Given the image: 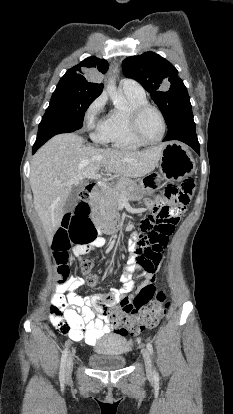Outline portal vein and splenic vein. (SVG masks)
I'll return each mask as SVG.
<instances>
[{"label":"portal vein and splenic vein","instance_id":"portal-vein-and-splenic-vein-1","mask_svg":"<svg viewBox=\"0 0 233 414\" xmlns=\"http://www.w3.org/2000/svg\"><path fill=\"white\" fill-rule=\"evenodd\" d=\"M97 170H99V168ZM87 177L90 179H100L101 175L92 172V173H88Z\"/></svg>","mask_w":233,"mask_h":414}]
</instances>
